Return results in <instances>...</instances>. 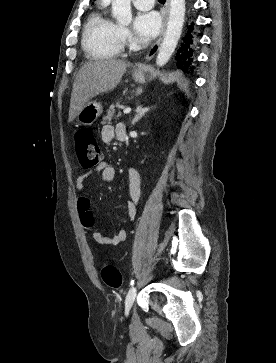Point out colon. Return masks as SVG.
<instances>
[{
  "instance_id": "colon-1",
  "label": "colon",
  "mask_w": 276,
  "mask_h": 363,
  "mask_svg": "<svg viewBox=\"0 0 276 363\" xmlns=\"http://www.w3.org/2000/svg\"><path fill=\"white\" fill-rule=\"evenodd\" d=\"M75 152L84 168H93L102 159V151L95 134L86 128L78 130L75 134ZM81 222L85 227L88 226L83 212H81ZM100 274L102 280L108 287L118 289L122 286V275L114 265L108 263L103 264Z\"/></svg>"
}]
</instances>
